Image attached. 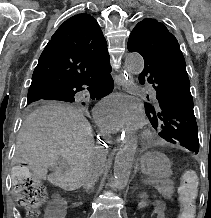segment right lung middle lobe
Masks as SVG:
<instances>
[{
  "label": "right lung middle lobe",
  "instance_id": "1",
  "mask_svg": "<svg viewBox=\"0 0 211 218\" xmlns=\"http://www.w3.org/2000/svg\"><path fill=\"white\" fill-rule=\"evenodd\" d=\"M95 99V98H92ZM100 99V98H96ZM28 110H40L66 105H79L85 107L86 102L79 100L73 95H53L27 101Z\"/></svg>",
  "mask_w": 211,
  "mask_h": 218
}]
</instances>
